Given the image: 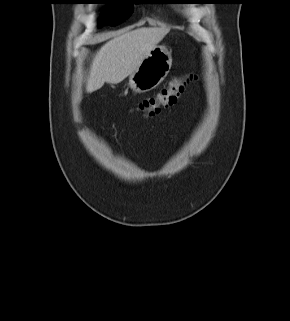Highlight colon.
<instances>
[{
  "label": "colon",
  "instance_id": "5ec220e1",
  "mask_svg": "<svg viewBox=\"0 0 290 321\" xmlns=\"http://www.w3.org/2000/svg\"><path fill=\"white\" fill-rule=\"evenodd\" d=\"M195 80V76L187 74L174 79L170 85L164 88L154 97H150L141 101L138 110L146 116H154L163 108L173 106L179 96L183 93L186 85Z\"/></svg>",
  "mask_w": 290,
  "mask_h": 321
}]
</instances>
